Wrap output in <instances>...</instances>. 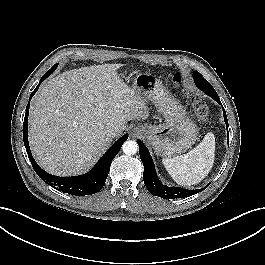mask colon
Listing matches in <instances>:
<instances>
[{
    "label": "colon",
    "instance_id": "5ec220e1",
    "mask_svg": "<svg viewBox=\"0 0 265 265\" xmlns=\"http://www.w3.org/2000/svg\"><path fill=\"white\" fill-rule=\"evenodd\" d=\"M173 81L176 85H179L181 81L180 75L175 74ZM183 93L191 105V110L195 119L199 122H205L209 115L208 106L204 102L193 97L188 91L184 90Z\"/></svg>",
    "mask_w": 265,
    "mask_h": 265
}]
</instances>
